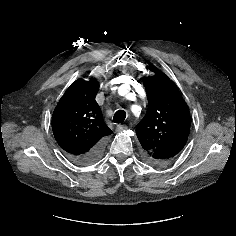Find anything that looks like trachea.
Returning a JSON list of instances; mask_svg holds the SVG:
<instances>
[{
  "instance_id": "trachea-1",
  "label": "trachea",
  "mask_w": 236,
  "mask_h": 236,
  "mask_svg": "<svg viewBox=\"0 0 236 236\" xmlns=\"http://www.w3.org/2000/svg\"><path fill=\"white\" fill-rule=\"evenodd\" d=\"M126 118V112L124 110H118L113 117V122L120 124L123 123V121Z\"/></svg>"
}]
</instances>
